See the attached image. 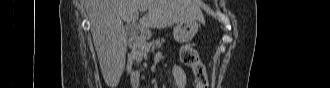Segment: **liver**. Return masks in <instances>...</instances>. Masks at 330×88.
Returning <instances> with one entry per match:
<instances>
[{"mask_svg":"<svg viewBox=\"0 0 330 88\" xmlns=\"http://www.w3.org/2000/svg\"><path fill=\"white\" fill-rule=\"evenodd\" d=\"M86 11L103 78L115 88L125 68L128 32L123 21L142 28L162 29L186 21H203L194 0H87Z\"/></svg>","mask_w":330,"mask_h":88,"instance_id":"1","label":"liver"}]
</instances>
